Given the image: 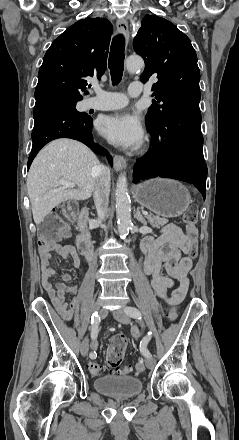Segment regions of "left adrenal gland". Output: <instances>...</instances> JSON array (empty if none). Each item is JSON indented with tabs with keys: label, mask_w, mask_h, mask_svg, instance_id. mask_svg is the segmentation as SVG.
I'll return each instance as SVG.
<instances>
[{
	"label": "left adrenal gland",
	"mask_w": 239,
	"mask_h": 440,
	"mask_svg": "<svg viewBox=\"0 0 239 440\" xmlns=\"http://www.w3.org/2000/svg\"><path fill=\"white\" fill-rule=\"evenodd\" d=\"M134 218H136V220H139V222H141V224H144V226H147V222H146L145 218H143V216L140 212V208H137V212H136V214H134Z\"/></svg>",
	"instance_id": "left-adrenal-gland-1"
}]
</instances>
